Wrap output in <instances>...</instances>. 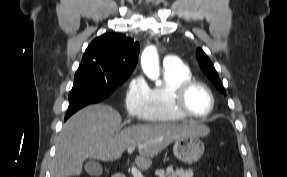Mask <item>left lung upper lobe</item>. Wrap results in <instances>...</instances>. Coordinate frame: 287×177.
<instances>
[{"instance_id": "obj_1", "label": "left lung upper lobe", "mask_w": 287, "mask_h": 177, "mask_svg": "<svg viewBox=\"0 0 287 177\" xmlns=\"http://www.w3.org/2000/svg\"><path fill=\"white\" fill-rule=\"evenodd\" d=\"M196 57L198 59L201 68L208 76V78L214 83L216 88L225 95L226 94L225 89L222 86V83L218 77L214 65L212 64L211 60L207 57V55L201 48L197 49Z\"/></svg>"}]
</instances>
